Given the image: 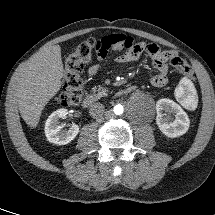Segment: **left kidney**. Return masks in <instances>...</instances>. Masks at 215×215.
I'll return each mask as SVG.
<instances>
[{
	"label": "left kidney",
	"mask_w": 215,
	"mask_h": 215,
	"mask_svg": "<svg viewBox=\"0 0 215 215\" xmlns=\"http://www.w3.org/2000/svg\"><path fill=\"white\" fill-rule=\"evenodd\" d=\"M156 124L161 132L170 138L185 134L190 125L186 112L173 100L163 98L156 103ZM173 113L175 119L169 114Z\"/></svg>",
	"instance_id": "obj_1"
}]
</instances>
